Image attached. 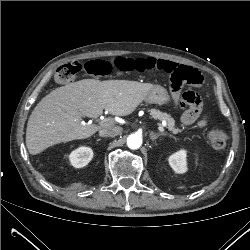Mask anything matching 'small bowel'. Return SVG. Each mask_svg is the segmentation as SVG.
Listing matches in <instances>:
<instances>
[{
    "label": "small bowel",
    "mask_w": 250,
    "mask_h": 250,
    "mask_svg": "<svg viewBox=\"0 0 250 250\" xmlns=\"http://www.w3.org/2000/svg\"><path fill=\"white\" fill-rule=\"evenodd\" d=\"M178 67L179 65L173 61L149 57L137 59L136 70L140 72L157 70L172 73ZM201 111V105L193 106L192 108L187 109L182 115V122L185 125H191L196 122L198 128H204L207 125V117H200Z\"/></svg>",
    "instance_id": "small-bowel-1"
}]
</instances>
